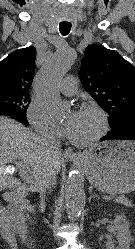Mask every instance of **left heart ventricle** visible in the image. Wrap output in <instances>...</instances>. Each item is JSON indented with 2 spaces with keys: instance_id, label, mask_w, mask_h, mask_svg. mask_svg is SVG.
<instances>
[{
  "instance_id": "1",
  "label": "left heart ventricle",
  "mask_w": 135,
  "mask_h": 249,
  "mask_svg": "<svg viewBox=\"0 0 135 249\" xmlns=\"http://www.w3.org/2000/svg\"><path fill=\"white\" fill-rule=\"evenodd\" d=\"M99 129L100 119L98 115L91 110L82 109L79 111L75 124L69 130V134L76 140L84 141L93 137Z\"/></svg>"
}]
</instances>
